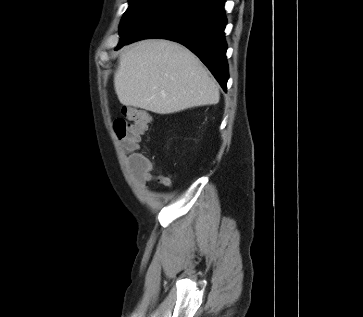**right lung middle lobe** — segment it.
I'll list each match as a JSON object with an SVG mask.
<instances>
[{
  "instance_id": "dd1d6c3e",
  "label": "right lung middle lobe",
  "mask_w": 363,
  "mask_h": 317,
  "mask_svg": "<svg viewBox=\"0 0 363 317\" xmlns=\"http://www.w3.org/2000/svg\"><path fill=\"white\" fill-rule=\"evenodd\" d=\"M180 0H129L120 24V42L131 39L148 21Z\"/></svg>"
}]
</instances>
